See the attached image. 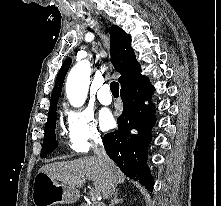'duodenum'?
Masks as SVG:
<instances>
[{
	"label": "duodenum",
	"instance_id": "1",
	"mask_svg": "<svg viewBox=\"0 0 221 206\" xmlns=\"http://www.w3.org/2000/svg\"><path fill=\"white\" fill-rule=\"evenodd\" d=\"M92 206H104L103 204L99 203V202H93Z\"/></svg>",
	"mask_w": 221,
	"mask_h": 206
}]
</instances>
